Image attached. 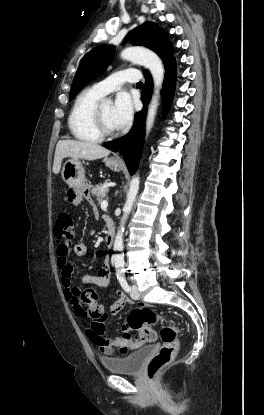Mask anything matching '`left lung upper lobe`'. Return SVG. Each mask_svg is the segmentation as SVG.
Segmentation results:
<instances>
[{
    "label": "left lung upper lobe",
    "mask_w": 264,
    "mask_h": 415,
    "mask_svg": "<svg viewBox=\"0 0 264 415\" xmlns=\"http://www.w3.org/2000/svg\"><path fill=\"white\" fill-rule=\"evenodd\" d=\"M127 40H130L134 45L145 46L156 52L163 60L164 65L175 58L168 34L156 23L145 22L134 29L124 40V43ZM114 52L115 48L113 46L103 45L91 50L83 57L74 77L69 101L75 97L84 85L103 73L111 62ZM143 72L145 75L149 74L147 71Z\"/></svg>",
    "instance_id": "1"
}]
</instances>
